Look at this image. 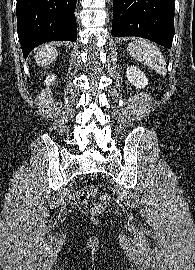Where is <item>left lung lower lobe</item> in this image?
Returning a JSON list of instances; mask_svg holds the SVG:
<instances>
[{
  "label": "left lung lower lobe",
  "instance_id": "0a47b994",
  "mask_svg": "<svg viewBox=\"0 0 195 270\" xmlns=\"http://www.w3.org/2000/svg\"><path fill=\"white\" fill-rule=\"evenodd\" d=\"M111 34L136 36L171 48L174 0H114Z\"/></svg>",
  "mask_w": 195,
  "mask_h": 270
}]
</instances>
